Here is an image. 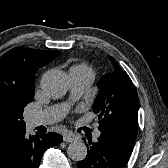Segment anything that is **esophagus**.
<instances>
[{
	"instance_id": "obj_1",
	"label": "esophagus",
	"mask_w": 168,
	"mask_h": 168,
	"mask_svg": "<svg viewBox=\"0 0 168 168\" xmlns=\"http://www.w3.org/2000/svg\"><path fill=\"white\" fill-rule=\"evenodd\" d=\"M78 138L75 134H72V133H67L63 136V140L65 142H74L76 141Z\"/></svg>"
}]
</instances>
